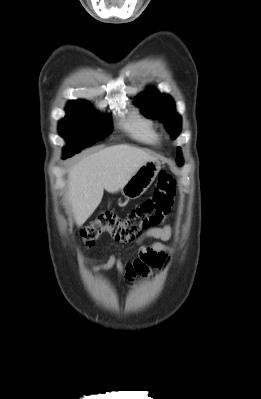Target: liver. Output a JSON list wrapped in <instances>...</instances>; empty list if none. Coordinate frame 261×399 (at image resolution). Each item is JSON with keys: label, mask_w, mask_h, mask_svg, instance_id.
<instances>
[{"label": "liver", "mask_w": 261, "mask_h": 399, "mask_svg": "<svg viewBox=\"0 0 261 399\" xmlns=\"http://www.w3.org/2000/svg\"><path fill=\"white\" fill-rule=\"evenodd\" d=\"M151 154L127 144H118L94 152L68 172V198L75 222L82 226L100 204L104 189L118 192L147 161Z\"/></svg>", "instance_id": "6515ba94"}]
</instances>
